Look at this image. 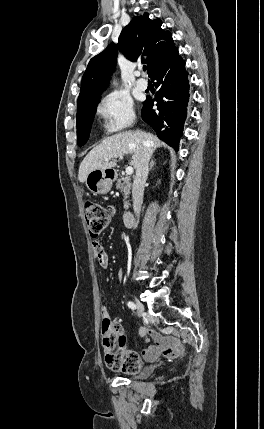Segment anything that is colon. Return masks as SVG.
<instances>
[{"instance_id": "obj_1", "label": "colon", "mask_w": 264, "mask_h": 429, "mask_svg": "<svg viewBox=\"0 0 264 429\" xmlns=\"http://www.w3.org/2000/svg\"><path fill=\"white\" fill-rule=\"evenodd\" d=\"M85 219L92 237L98 236L108 225L111 212L96 201L87 200L84 204ZM102 345L108 365L114 369H125L123 372L136 373L140 369V360L135 353L124 355L126 337L119 324L110 320L102 312Z\"/></svg>"}]
</instances>
